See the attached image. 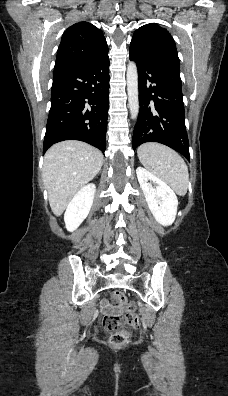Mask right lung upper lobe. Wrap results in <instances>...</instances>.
Masks as SVG:
<instances>
[{"instance_id":"obj_1","label":"right lung upper lobe","mask_w":228,"mask_h":396,"mask_svg":"<svg viewBox=\"0 0 228 396\" xmlns=\"http://www.w3.org/2000/svg\"><path fill=\"white\" fill-rule=\"evenodd\" d=\"M106 52H108L107 43L100 29L88 22L76 23L62 36L54 72L85 65Z\"/></svg>"}]
</instances>
